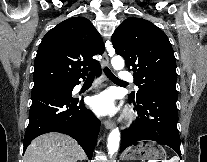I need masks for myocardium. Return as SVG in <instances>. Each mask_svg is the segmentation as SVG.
Returning <instances> with one entry per match:
<instances>
[{
	"label": "myocardium",
	"instance_id": "1",
	"mask_svg": "<svg viewBox=\"0 0 207 162\" xmlns=\"http://www.w3.org/2000/svg\"><path fill=\"white\" fill-rule=\"evenodd\" d=\"M132 117H133L132 112H131L130 110H128V111L126 112V115H125L126 120H131Z\"/></svg>",
	"mask_w": 207,
	"mask_h": 162
}]
</instances>
